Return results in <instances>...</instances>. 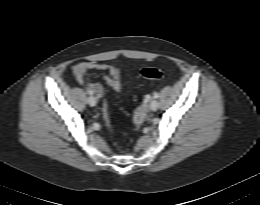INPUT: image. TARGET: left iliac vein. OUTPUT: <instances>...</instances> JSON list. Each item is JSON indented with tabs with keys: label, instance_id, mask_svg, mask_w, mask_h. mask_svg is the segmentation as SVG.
<instances>
[{
	"label": "left iliac vein",
	"instance_id": "4c4485c4",
	"mask_svg": "<svg viewBox=\"0 0 260 205\" xmlns=\"http://www.w3.org/2000/svg\"><path fill=\"white\" fill-rule=\"evenodd\" d=\"M158 107H159L158 101L156 99L151 100V102L149 104L150 110L156 111L158 109Z\"/></svg>",
	"mask_w": 260,
	"mask_h": 205
}]
</instances>
